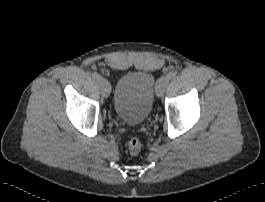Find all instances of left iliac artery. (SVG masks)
<instances>
[{"mask_svg":"<svg viewBox=\"0 0 265 202\" xmlns=\"http://www.w3.org/2000/svg\"><path fill=\"white\" fill-rule=\"evenodd\" d=\"M167 77H168L169 79H173V78H175V77H176V72H174V71L169 72V73L167 74Z\"/></svg>","mask_w":265,"mask_h":202,"instance_id":"44dca946","label":"left iliac artery"}]
</instances>
